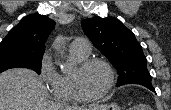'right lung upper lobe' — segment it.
Returning <instances> with one entry per match:
<instances>
[{"instance_id":"cb5924a9","label":"right lung upper lobe","mask_w":171,"mask_h":110,"mask_svg":"<svg viewBox=\"0 0 171 110\" xmlns=\"http://www.w3.org/2000/svg\"><path fill=\"white\" fill-rule=\"evenodd\" d=\"M54 21L45 15L25 16L2 40V45H14L33 53L45 52V42L54 28Z\"/></svg>"}]
</instances>
